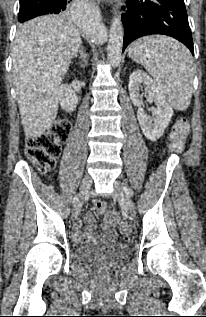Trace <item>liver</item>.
<instances>
[{
	"mask_svg": "<svg viewBox=\"0 0 206 317\" xmlns=\"http://www.w3.org/2000/svg\"><path fill=\"white\" fill-rule=\"evenodd\" d=\"M81 37L67 14L37 17L17 31L12 76L25 134L37 138L58 112V92Z\"/></svg>",
	"mask_w": 206,
	"mask_h": 317,
	"instance_id": "liver-1",
	"label": "liver"
}]
</instances>
